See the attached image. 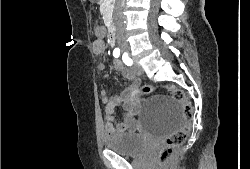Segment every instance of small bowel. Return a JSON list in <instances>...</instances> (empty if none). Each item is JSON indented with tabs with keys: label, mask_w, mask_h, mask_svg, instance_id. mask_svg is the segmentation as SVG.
Segmentation results:
<instances>
[{
	"label": "small bowel",
	"mask_w": 250,
	"mask_h": 169,
	"mask_svg": "<svg viewBox=\"0 0 250 169\" xmlns=\"http://www.w3.org/2000/svg\"><path fill=\"white\" fill-rule=\"evenodd\" d=\"M97 40L94 43V51L96 54H101L105 50V43L103 41L104 31L101 27L95 28ZM98 68L104 69V62L98 63ZM114 69L122 72L125 79L131 81V85L123 92L117 95H108L104 92V100L107 104L105 111V130L107 135L123 132H135L138 129L137 115L141 108L140 98L137 94L141 81L137 79L134 73L125 69L122 63L118 60L114 62ZM121 107L123 111V120L117 122L115 114L118 108Z\"/></svg>",
	"instance_id": "c3829d8e"
}]
</instances>
